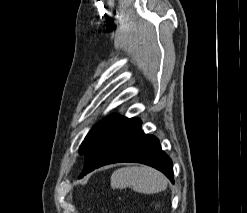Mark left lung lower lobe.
Segmentation results:
<instances>
[{
  "label": "left lung lower lobe",
  "instance_id": "1",
  "mask_svg": "<svg viewBox=\"0 0 247 213\" xmlns=\"http://www.w3.org/2000/svg\"><path fill=\"white\" fill-rule=\"evenodd\" d=\"M138 162L154 167L174 183L171 159L161 149L159 140L141 130V120L119 118L99 136L85 153L84 169L79 178L103 165Z\"/></svg>",
  "mask_w": 247,
  "mask_h": 213
}]
</instances>
